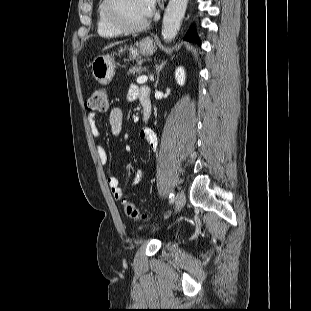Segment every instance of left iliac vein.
<instances>
[{
	"mask_svg": "<svg viewBox=\"0 0 311 311\" xmlns=\"http://www.w3.org/2000/svg\"><path fill=\"white\" fill-rule=\"evenodd\" d=\"M186 202L185 193L183 191H179L176 195L175 200V213L179 212Z\"/></svg>",
	"mask_w": 311,
	"mask_h": 311,
	"instance_id": "1",
	"label": "left iliac vein"
}]
</instances>
